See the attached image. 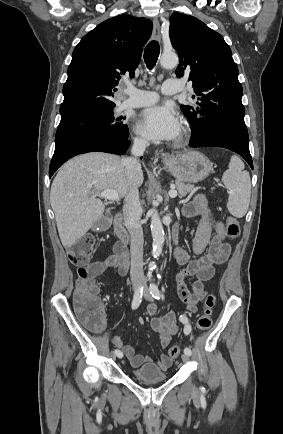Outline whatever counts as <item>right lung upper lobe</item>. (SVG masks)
Listing matches in <instances>:
<instances>
[{"mask_svg":"<svg viewBox=\"0 0 283 434\" xmlns=\"http://www.w3.org/2000/svg\"><path fill=\"white\" fill-rule=\"evenodd\" d=\"M151 33L150 20L120 15L86 34L68 67L61 117L113 109L115 86L125 73L134 77Z\"/></svg>","mask_w":283,"mask_h":434,"instance_id":"cb5924a9","label":"right lung upper lobe"}]
</instances>
